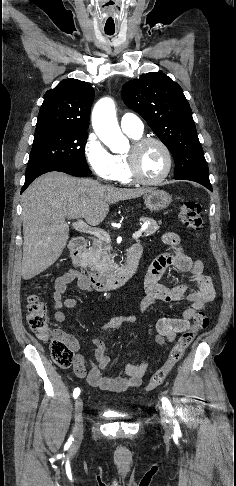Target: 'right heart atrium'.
<instances>
[{"instance_id": "right-heart-atrium-1", "label": "right heart atrium", "mask_w": 236, "mask_h": 486, "mask_svg": "<svg viewBox=\"0 0 236 486\" xmlns=\"http://www.w3.org/2000/svg\"><path fill=\"white\" fill-rule=\"evenodd\" d=\"M84 156L92 171L101 179L114 181L116 162L96 134L90 133L84 144Z\"/></svg>"}]
</instances>
